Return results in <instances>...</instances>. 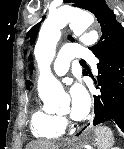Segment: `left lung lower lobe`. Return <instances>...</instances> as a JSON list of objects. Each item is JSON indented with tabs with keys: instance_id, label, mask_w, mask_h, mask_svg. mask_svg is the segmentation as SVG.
<instances>
[{
	"instance_id": "0a47b994",
	"label": "left lung lower lobe",
	"mask_w": 124,
	"mask_h": 149,
	"mask_svg": "<svg viewBox=\"0 0 124 149\" xmlns=\"http://www.w3.org/2000/svg\"><path fill=\"white\" fill-rule=\"evenodd\" d=\"M96 57L99 94L94 96V125L112 122L124 132V47Z\"/></svg>"
}]
</instances>
